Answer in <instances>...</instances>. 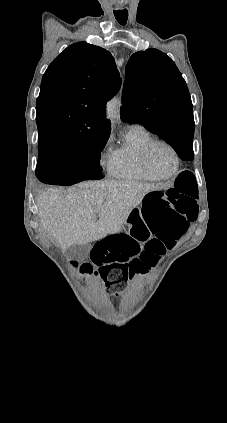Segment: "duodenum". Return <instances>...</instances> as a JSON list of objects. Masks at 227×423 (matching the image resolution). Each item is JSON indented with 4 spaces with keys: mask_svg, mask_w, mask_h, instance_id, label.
<instances>
[{
    "mask_svg": "<svg viewBox=\"0 0 227 423\" xmlns=\"http://www.w3.org/2000/svg\"><path fill=\"white\" fill-rule=\"evenodd\" d=\"M114 267H118L117 265H115ZM112 270V269H111ZM116 271H114L113 273H115Z\"/></svg>",
    "mask_w": 227,
    "mask_h": 423,
    "instance_id": "410a0bca",
    "label": "duodenum"
}]
</instances>
